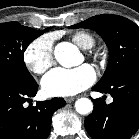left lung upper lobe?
<instances>
[{
    "label": "left lung upper lobe",
    "instance_id": "1",
    "mask_svg": "<svg viewBox=\"0 0 139 139\" xmlns=\"http://www.w3.org/2000/svg\"><path fill=\"white\" fill-rule=\"evenodd\" d=\"M81 27L96 31L109 48L110 59L97 85L107 86L126 69L139 64V27L129 19L102 14L69 28Z\"/></svg>",
    "mask_w": 139,
    "mask_h": 139
}]
</instances>
